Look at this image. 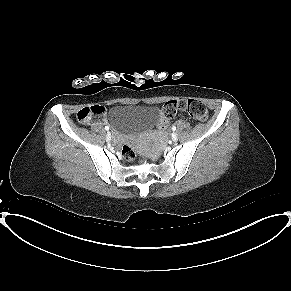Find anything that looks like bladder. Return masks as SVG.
I'll use <instances>...</instances> for the list:
<instances>
[{"mask_svg":"<svg viewBox=\"0 0 291 291\" xmlns=\"http://www.w3.org/2000/svg\"><path fill=\"white\" fill-rule=\"evenodd\" d=\"M158 118V108L148 105L114 104L108 113L112 132L123 136L134 135L153 126Z\"/></svg>","mask_w":291,"mask_h":291,"instance_id":"obj_1","label":"bladder"}]
</instances>
